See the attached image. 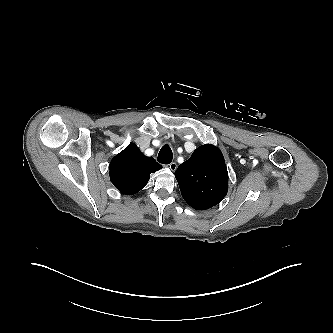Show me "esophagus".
<instances>
[{
	"instance_id": "obj_1",
	"label": "esophagus",
	"mask_w": 333,
	"mask_h": 333,
	"mask_svg": "<svg viewBox=\"0 0 333 333\" xmlns=\"http://www.w3.org/2000/svg\"><path fill=\"white\" fill-rule=\"evenodd\" d=\"M168 167L170 168V170L175 171L177 169V164L176 162H172L168 165Z\"/></svg>"
}]
</instances>
